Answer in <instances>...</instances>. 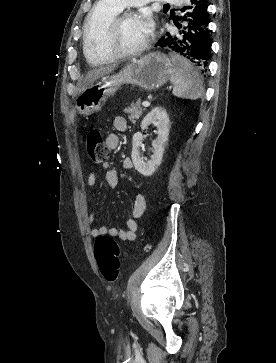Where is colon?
Returning <instances> with one entry per match:
<instances>
[{
    "label": "colon",
    "mask_w": 276,
    "mask_h": 363,
    "mask_svg": "<svg viewBox=\"0 0 276 363\" xmlns=\"http://www.w3.org/2000/svg\"><path fill=\"white\" fill-rule=\"evenodd\" d=\"M87 152L91 161L95 164L105 163L109 150L104 143L99 129L92 128L87 133ZM151 250L149 243L145 244L143 252ZM94 255L102 276L110 282L115 281L120 273L121 250L116 241L108 235H100L94 244Z\"/></svg>",
    "instance_id": "obj_1"
}]
</instances>
